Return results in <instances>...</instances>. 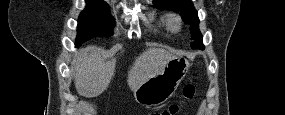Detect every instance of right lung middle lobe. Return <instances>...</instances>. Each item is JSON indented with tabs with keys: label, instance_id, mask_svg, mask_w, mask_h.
<instances>
[{
	"label": "right lung middle lobe",
	"instance_id": "obj_1",
	"mask_svg": "<svg viewBox=\"0 0 285 115\" xmlns=\"http://www.w3.org/2000/svg\"><path fill=\"white\" fill-rule=\"evenodd\" d=\"M87 6L78 19L76 46L95 37H109L113 34V17L108 5L100 0H86Z\"/></svg>",
	"mask_w": 285,
	"mask_h": 115
}]
</instances>
